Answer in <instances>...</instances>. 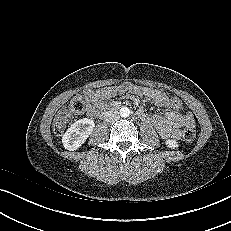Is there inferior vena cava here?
Here are the masks:
<instances>
[{
    "label": "inferior vena cava",
    "instance_id": "602c4592",
    "mask_svg": "<svg viewBox=\"0 0 231 231\" xmlns=\"http://www.w3.org/2000/svg\"><path fill=\"white\" fill-rule=\"evenodd\" d=\"M120 118L119 112L115 109H109L104 113V120L107 122H114Z\"/></svg>",
    "mask_w": 231,
    "mask_h": 231
}]
</instances>
